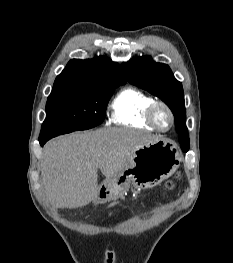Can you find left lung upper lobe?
Masks as SVG:
<instances>
[{
	"label": "left lung upper lobe",
	"instance_id": "left-lung-upper-lobe-1",
	"mask_svg": "<svg viewBox=\"0 0 233 263\" xmlns=\"http://www.w3.org/2000/svg\"><path fill=\"white\" fill-rule=\"evenodd\" d=\"M121 67L131 84L147 90L168 105L175 117L178 138L189 141L182 84L175 79L169 66L145 56L122 63Z\"/></svg>",
	"mask_w": 233,
	"mask_h": 263
}]
</instances>
